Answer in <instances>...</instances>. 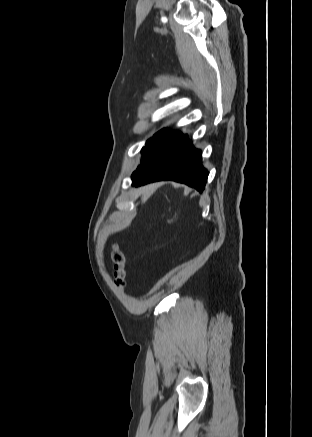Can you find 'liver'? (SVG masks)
<instances>
[{"mask_svg": "<svg viewBox=\"0 0 312 437\" xmlns=\"http://www.w3.org/2000/svg\"><path fill=\"white\" fill-rule=\"evenodd\" d=\"M160 186V183L149 184L140 188L141 200L144 203Z\"/></svg>", "mask_w": 312, "mask_h": 437, "instance_id": "1", "label": "liver"}]
</instances>
